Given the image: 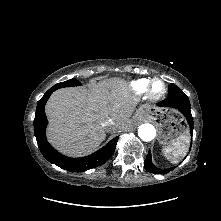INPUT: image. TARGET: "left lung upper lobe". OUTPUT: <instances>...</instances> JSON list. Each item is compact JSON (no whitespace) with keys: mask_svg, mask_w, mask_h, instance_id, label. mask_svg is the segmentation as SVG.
Wrapping results in <instances>:
<instances>
[{"mask_svg":"<svg viewBox=\"0 0 221 221\" xmlns=\"http://www.w3.org/2000/svg\"><path fill=\"white\" fill-rule=\"evenodd\" d=\"M182 90L175 84L171 83L169 85V96L175 94H182Z\"/></svg>","mask_w":221,"mask_h":221,"instance_id":"5c2ea615","label":"left lung upper lobe"}]
</instances>
